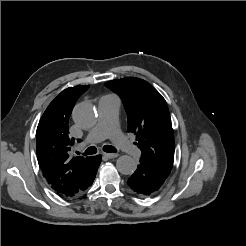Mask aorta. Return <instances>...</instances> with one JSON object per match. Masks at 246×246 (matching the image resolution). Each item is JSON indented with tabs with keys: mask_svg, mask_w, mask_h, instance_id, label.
I'll list each match as a JSON object with an SVG mask.
<instances>
[{
	"mask_svg": "<svg viewBox=\"0 0 246 246\" xmlns=\"http://www.w3.org/2000/svg\"><path fill=\"white\" fill-rule=\"evenodd\" d=\"M74 122L82 128H90L97 121V112L91 103H79L73 110ZM117 170L124 175H131L136 170L135 160L128 155L120 156L116 161Z\"/></svg>",
	"mask_w": 246,
	"mask_h": 246,
	"instance_id": "762f6f07",
	"label": "aorta"
}]
</instances>
